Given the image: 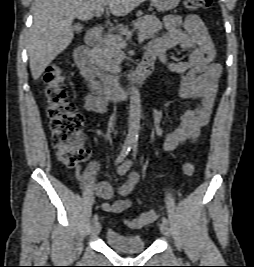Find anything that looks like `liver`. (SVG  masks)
<instances>
[{
  "instance_id": "1",
  "label": "liver",
  "mask_w": 254,
  "mask_h": 267,
  "mask_svg": "<svg viewBox=\"0 0 254 267\" xmlns=\"http://www.w3.org/2000/svg\"><path fill=\"white\" fill-rule=\"evenodd\" d=\"M145 0H35L27 49L30 70L38 80L46 67L72 42L75 18L90 20L97 8L108 6L115 16H125Z\"/></svg>"
}]
</instances>
